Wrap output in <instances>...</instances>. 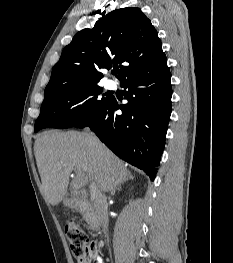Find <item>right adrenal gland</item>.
<instances>
[{
  "label": "right adrenal gland",
  "mask_w": 233,
  "mask_h": 263,
  "mask_svg": "<svg viewBox=\"0 0 233 263\" xmlns=\"http://www.w3.org/2000/svg\"><path fill=\"white\" fill-rule=\"evenodd\" d=\"M133 179H134V177L132 175H129L128 180H133ZM119 190H121V185H118L115 188L111 189L110 193L113 196V195H115V192L119 191Z\"/></svg>",
  "instance_id": "2a0ac1e0"
}]
</instances>
